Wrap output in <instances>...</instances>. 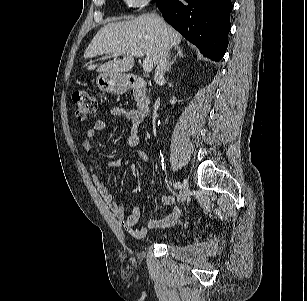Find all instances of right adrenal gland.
<instances>
[{"label": "right adrenal gland", "mask_w": 307, "mask_h": 301, "mask_svg": "<svg viewBox=\"0 0 307 301\" xmlns=\"http://www.w3.org/2000/svg\"><path fill=\"white\" fill-rule=\"evenodd\" d=\"M174 50H176L177 53H176V55L173 57V59L170 61V63L168 64L167 69H166L167 72H169V71L171 70V67H172V65H173V63H174V61L176 60L177 57H180V58H181V57L184 56L181 47L175 46V47H174Z\"/></svg>", "instance_id": "1"}]
</instances>
